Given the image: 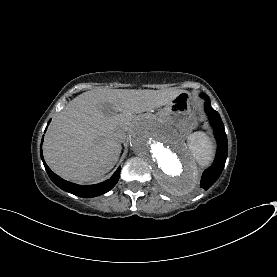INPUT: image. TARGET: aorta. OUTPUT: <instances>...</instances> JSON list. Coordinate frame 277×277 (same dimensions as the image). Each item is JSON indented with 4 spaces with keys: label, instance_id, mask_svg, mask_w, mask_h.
I'll use <instances>...</instances> for the list:
<instances>
[{
    "label": "aorta",
    "instance_id": "1",
    "mask_svg": "<svg viewBox=\"0 0 277 277\" xmlns=\"http://www.w3.org/2000/svg\"><path fill=\"white\" fill-rule=\"evenodd\" d=\"M130 144L165 191L185 195L196 188L197 167L184 142L164 122L153 116L139 119L130 130Z\"/></svg>",
    "mask_w": 277,
    "mask_h": 277
}]
</instances>
